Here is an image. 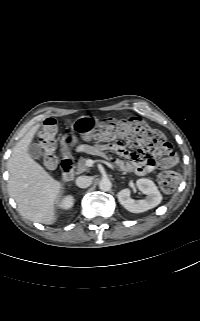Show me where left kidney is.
I'll return each instance as SVG.
<instances>
[{
    "label": "left kidney",
    "mask_w": 200,
    "mask_h": 321,
    "mask_svg": "<svg viewBox=\"0 0 200 321\" xmlns=\"http://www.w3.org/2000/svg\"><path fill=\"white\" fill-rule=\"evenodd\" d=\"M137 188L147 197L143 200L135 201L130 197L131 191L125 188L118 192L117 197L120 204L132 213H141L152 209L160 204L162 195L153 181L149 179H138L136 181Z\"/></svg>",
    "instance_id": "obj_1"
}]
</instances>
